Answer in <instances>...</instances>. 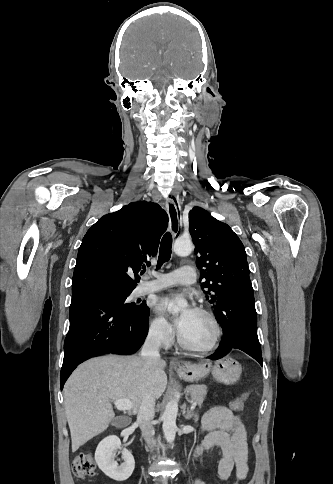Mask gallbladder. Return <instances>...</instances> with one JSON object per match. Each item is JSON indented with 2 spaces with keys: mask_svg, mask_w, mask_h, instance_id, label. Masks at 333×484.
I'll list each match as a JSON object with an SVG mask.
<instances>
[{
  "mask_svg": "<svg viewBox=\"0 0 333 484\" xmlns=\"http://www.w3.org/2000/svg\"><path fill=\"white\" fill-rule=\"evenodd\" d=\"M119 420H120V417H117V418H115V419L112 421V423H111V424H112L113 426H116V427H117V426H119Z\"/></svg>",
  "mask_w": 333,
  "mask_h": 484,
  "instance_id": "1",
  "label": "gallbladder"
}]
</instances>
